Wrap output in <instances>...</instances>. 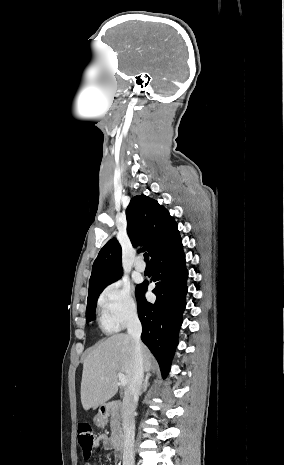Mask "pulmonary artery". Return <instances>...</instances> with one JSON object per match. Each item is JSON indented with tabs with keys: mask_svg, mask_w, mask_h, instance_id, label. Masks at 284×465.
<instances>
[{
	"mask_svg": "<svg viewBox=\"0 0 284 465\" xmlns=\"http://www.w3.org/2000/svg\"><path fill=\"white\" fill-rule=\"evenodd\" d=\"M134 268L136 271L142 273L145 271V264L140 259H137L134 263Z\"/></svg>",
	"mask_w": 284,
	"mask_h": 465,
	"instance_id": "obj_1",
	"label": "pulmonary artery"
}]
</instances>
